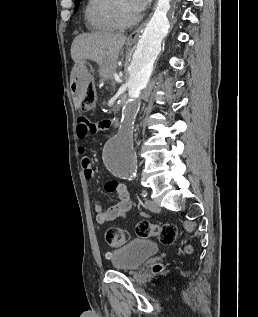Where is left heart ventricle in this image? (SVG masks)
I'll return each instance as SVG.
<instances>
[{
	"label": "left heart ventricle",
	"mask_w": 258,
	"mask_h": 317,
	"mask_svg": "<svg viewBox=\"0 0 258 317\" xmlns=\"http://www.w3.org/2000/svg\"><path fill=\"white\" fill-rule=\"evenodd\" d=\"M134 14H135V10L133 8L126 6L121 11V18L125 23H128L132 20Z\"/></svg>",
	"instance_id": "obj_1"
}]
</instances>
